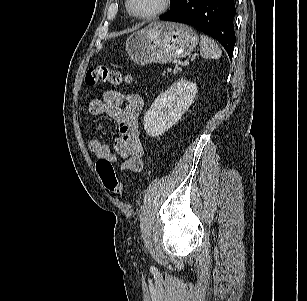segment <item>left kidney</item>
Masks as SVG:
<instances>
[{"mask_svg":"<svg viewBox=\"0 0 307 301\" xmlns=\"http://www.w3.org/2000/svg\"><path fill=\"white\" fill-rule=\"evenodd\" d=\"M197 93V84L187 80L174 82L153 102L144 116V129L151 137L164 134L188 110Z\"/></svg>","mask_w":307,"mask_h":301,"instance_id":"left-kidney-1","label":"left kidney"}]
</instances>
